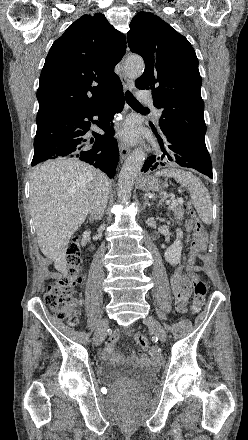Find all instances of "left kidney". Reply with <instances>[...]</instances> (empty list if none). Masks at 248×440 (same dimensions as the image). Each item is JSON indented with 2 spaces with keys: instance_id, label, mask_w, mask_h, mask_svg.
<instances>
[{
  "instance_id": "obj_1",
  "label": "left kidney",
  "mask_w": 248,
  "mask_h": 440,
  "mask_svg": "<svg viewBox=\"0 0 248 440\" xmlns=\"http://www.w3.org/2000/svg\"><path fill=\"white\" fill-rule=\"evenodd\" d=\"M176 234V241L164 253L165 260L172 266L177 265L180 262L182 252L181 239L183 237V231L180 228H177Z\"/></svg>"
}]
</instances>
